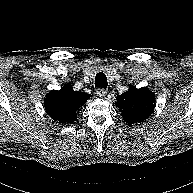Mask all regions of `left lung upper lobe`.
Instances as JSON below:
<instances>
[{
	"instance_id": "5c2ea615",
	"label": "left lung upper lobe",
	"mask_w": 193,
	"mask_h": 193,
	"mask_svg": "<svg viewBox=\"0 0 193 193\" xmlns=\"http://www.w3.org/2000/svg\"><path fill=\"white\" fill-rule=\"evenodd\" d=\"M155 95L147 88H130L117 96L116 106L120 109L123 119L128 124L142 122L147 119L155 108Z\"/></svg>"
}]
</instances>
